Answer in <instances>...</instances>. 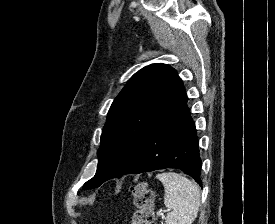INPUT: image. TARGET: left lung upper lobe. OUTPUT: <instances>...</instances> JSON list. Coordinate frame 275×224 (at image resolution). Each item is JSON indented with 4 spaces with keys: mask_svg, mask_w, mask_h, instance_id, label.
<instances>
[{
    "mask_svg": "<svg viewBox=\"0 0 275 224\" xmlns=\"http://www.w3.org/2000/svg\"><path fill=\"white\" fill-rule=\"evenodd\" d=\"M184 96L181 79L168 65L151 64L135 73L108 111L97 171L83 189L124 175L148 137Z\"/></svg>",
    "mask_w": 275,
    "mask_h": 224,
    "instance_id": "1",
    "label": "left lung upper lobe"
}]
</instances>
